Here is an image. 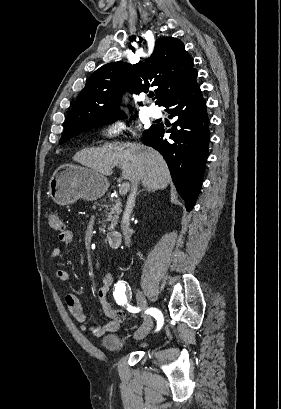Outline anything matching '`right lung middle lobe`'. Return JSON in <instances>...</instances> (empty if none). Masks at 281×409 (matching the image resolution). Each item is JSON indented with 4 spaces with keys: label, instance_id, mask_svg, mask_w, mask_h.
Returning <instances> with one entry per match:
<instances>
[{
    "label": "right lung middle lobe",
    "instance_id": "dd1d6c3e",
    "mask_svg": "<svg viewBox=\"0 0 281 409\" xmlns=\"http://www.w3.org/2000/svg\"><path fill=\"white\" fill-rule=\"evenodd\" d=\"M122 118H126V115L124 113H120L111 117H108L106 119H102L99 120L97 122H94L92 124L83 126V127H70V128H65L60 140V144L68 141L70 138L74 137L75 135H77L78 133L97 127V126H101V125H105V124H109V123H113L118 119H122Z\"/></svg>",
    "mask_w": 281,
    "mask_h": 409
}]
</instances>
